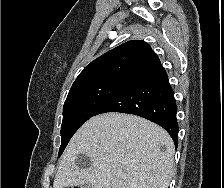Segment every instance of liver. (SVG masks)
I'll list each match as a JSON object with an SVG mask.
<instances>
[{
	"label": "liver",
	"instance_id": "1",
	"mask_svg": "<svg viewBox=\"0 0 224 188\" xmlns=\"http://www.w3.org/2000/svg\"><path fill=\"white\" fill-rule=\"evenodd\" d=\"M174 153L170 135L153 122L124 113L97 115L70 140L53 188L83 184L91 188H168ZM80 154L90 158V167L76 162Z\"/></svg>",
	"mask_w": 224,
	"mask_h": 188
}]
</instances>
